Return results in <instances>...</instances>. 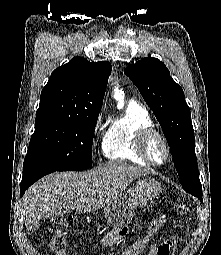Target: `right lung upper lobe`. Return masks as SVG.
Masks as SVG:
<instances>
[{
    "label": "right lung upper lobe",
    "mask_w": 221,
    "mask_h": 255,
    "mask_svg": "<svg viewBox=\"0 0 221 255\" xmlns=\"http://www.w3.org/2000/svg\"><path fill=\"white\" fill-rule=\"evenodd\" d=\"M111 70L107 61L74 57L52 72L36 115L84 116L100 111Z\"/></svg>",
    "instance_id": "cb5924a9"
}]
</instances>
